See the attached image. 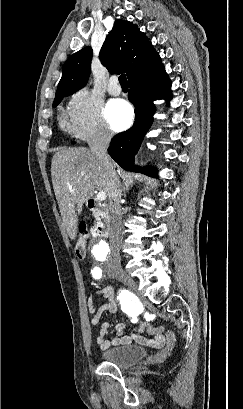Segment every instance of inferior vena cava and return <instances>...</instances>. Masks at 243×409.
Listing matches in <instances>:
<instances>
[{
  "label": "inferior vena cava",
  "mask_w": 243,
  "mask_h": 409,
  "mask_svg": "<svg viewBox=\"0 0 243 409\" xmlns=\"http://www.w3.org/2000/svg\"><path fill=\"white\" fill-rule=\"evenodd\" d=\"M111 133L101 129L90 140V151L103 160L104 166L108 171V210H109V242L111 257L108 262V269H120V236L122 231L121 221V184L115 169L110 166V159L107 153L111 141Z\"/></svg>",
  "instance_id": "602c4592"
}]
</instances>
